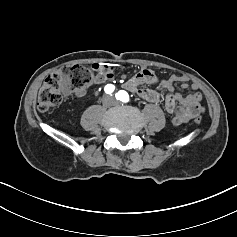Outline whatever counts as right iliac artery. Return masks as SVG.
<instances>
[{
	"mask_svg": "<svg viewBox=\"0 0 237 237\" xmlns=\"http://www.w3.org/2000/svg\"><path fill=\"white\" fill-rule=\"evenodd\" d=\"M115 89V86L112 85V84H107L104 88V91L107 93V94H111Z\"/></svg>",
	"mask_w": 237,
	"mask_h": 237,
	"instance_id": "obj_1",
	"label": "right iliac artery"
}]
</instances>
